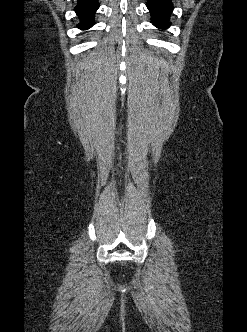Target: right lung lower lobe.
<instances>
[{
  "label": "right lung lower lobe",
  "mask_w": 247,
  "mask_h": 332,
  "mask_svg": "<svg viewBox=\"0 0 247 332\" xmlns=\"http://www.w3.org/2000/svg\"><path fill=\"white\" fill-rule=\"evenodd\" d=\"M98 8V0H78L74 9L80 19L77 27L89 29L93 26L95 24L94 15Z\"/></svg>",
  "instance_id": "98d812e1"
}]
</instances>
